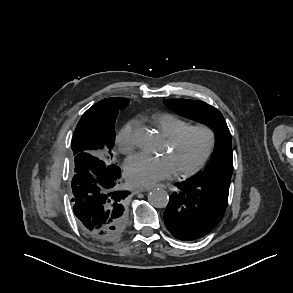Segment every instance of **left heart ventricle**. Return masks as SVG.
Listing matches in <instances>:
<instances>
[{"label": "left heart ventricle", "instance_id": "left-heart-ventricle-1", "mask_svg": "<svg viewBox=\"0 0 293 293\" xmlns=\"http://www.w3.org/2000/svg\"><path fill=\"white\" fill-rule=\"evenodd\" d=\"M205 143V134L201 131H193L175 147H170L166 143L164 153L171 158L176 171H179L196 162L203 152Z\"/></svg>", "mask_w": 293, "mask_h": 293}]
</instances>
